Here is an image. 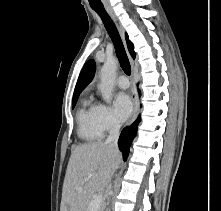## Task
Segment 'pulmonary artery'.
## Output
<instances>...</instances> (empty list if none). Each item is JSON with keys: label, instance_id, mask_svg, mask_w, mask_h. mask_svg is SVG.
Instances as JSON below:
<instances>
[{"label": "pulmonary artery", "instance_id": "obj_1", "mask_svg": "<svg viewBox=\"0 0 221 211\" xmlns=\"http://www.w3.org/2000/svg\"><path fill=\"white\" fill-rule=\"evenodd\" d=\"M116 84L121 89H126L129 87V81L124 75H121L117 78Z\"/></svg>", "mask_w": 221, "mask_h": 211}]
</instances>
